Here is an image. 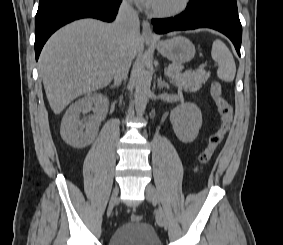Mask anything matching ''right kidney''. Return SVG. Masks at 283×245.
<instances>
[{"mask_svg": "<svg viewBox=\"0 0 283 245\" xmlns=\"http://www.w3.org/2000/svg\"><path fill=\"white\" fill-rule=\"evenodd\" d=\"M108 99L101 95L85 96L73 103L66 111L60 128L62 139L74 148L88 146L95 139L98 128L96 120H80V114L90 110L105 112Z\"/></svg>", "mask_w": 283, "mask_h": 245, "instance_id": "obj_1", "label": "right kidney"}]
</instances>
